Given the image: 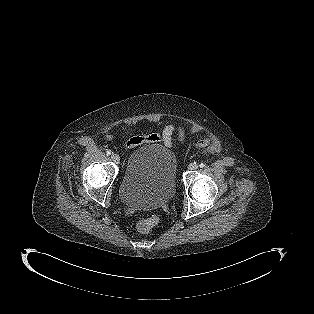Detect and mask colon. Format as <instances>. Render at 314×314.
Returning <instances> with one entry per match:
<instances>
[{"instance_id": "1", "label": "colon", "mask_w": 314, "mask_h": 314, "mask_svg": "<svg viewBox=\"0 0 314 314\" xmlns=\"http://www.w3.org/2000/svg\"><path fill=\"white\" fill-rule=\"evenodd\" d=\"M159 223V218L150 216L142 218L138 223V229L143 234L150 233Z\"/></svg>"}]
</instances>
